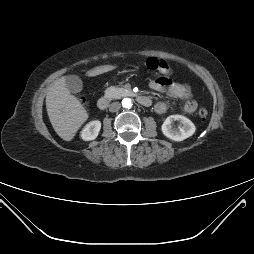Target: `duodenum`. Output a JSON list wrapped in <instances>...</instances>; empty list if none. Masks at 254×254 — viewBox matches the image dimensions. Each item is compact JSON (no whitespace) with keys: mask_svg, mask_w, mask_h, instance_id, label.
<instances>
[{"mask_svg":"<svg viewBox=\"0 0 254 254\" xmlns=\"http://www.w3.org/2000/svg\"><path fill=\"white\" fill-rule=\"evenodd\" d=\"M136 99L138 101L139 104L145 106V107H148L151 105V100L149 97L147 96H144V95H136ZM109 98L108 97H101L98 99L97 101V107L100 109V110H104L108 107L109 105Z\"/></svg>","mask_w":254,"mask_h":254,"instance_id":"1","label":"duodenum"}]
</instances>
